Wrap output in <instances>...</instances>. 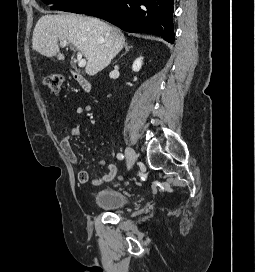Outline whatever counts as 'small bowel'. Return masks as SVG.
<instances>
[{
	"instance_id": "obj_1",
	"label": "small bowel",
	"mask_w": 255,
	"mask_h": 272,
	"mask_svg": "<svg viewBox=\"0 0 255 272\" xmlns=\"http://www.w3.org/2000/svg\"><path fill=\"white\" fill-rule=\"evenodd\" d=\"M82 125L76 124L70 128L69 134L60 140V147L67 159L76 167L80 168L82 165L81 159L75 153L71 146V138L82 133ZM100 166L105 170V174L99 178H92L88 171L80 170L78 173V180L81 184H89L92 186H101L114 179L117 173V167L114 164H109L105 159L100 161Z\"/></svg>"
}]
</instances>
